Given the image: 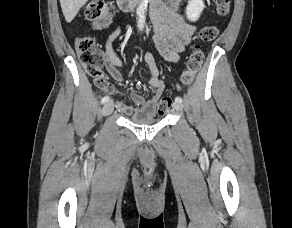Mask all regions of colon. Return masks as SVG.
<instances>
[{
  "mask_svg": "<svg viewBox=\"0 0 292 228\" xmlns=\"http://www.w3.org/2000/svg\"><path fill=\"white\" fill-rule=\"evenodd\" d=\"M231 0H215L216 11L220 16H226L230 11ZM85 17L89 21H97L99 27L106 26L111 19L109 13H106L105 5L100 0H94L88 4L85 10ZM218 34L215 26H204L198 33V40L201 42H209ZM75 49L79 60L85 71L91 75L97 85H101L104 81L102 67L106 62L103 51L99 48L95 40L91 37H81L75 42ZM204 62V53L199 45H196L188 57L186 70L182 75V82L189 85L193 82L195 76L200 71ZM171 99L163 97L158 103V112L164 113L171 107Z\"/></svg>",
  "mask_w": 292,
  "mask_h": 228,
  "instance_id": "5ec220e1",
  "label": "colon"
}]
</instances>
